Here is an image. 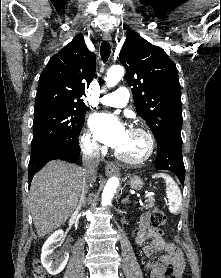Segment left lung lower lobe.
Returning a JSON list of instances; mask_svg holds the SVG:
<instances>
[{"mask_svg":"<svg viewBox=\"0 0 221 278\" xmlns=\"http://www.w3.org/2000/svg\"><path fill=\"white\" fill-rule=\"evenodd\" d=\"M158 142V155L155 167L174 172L184 186L185 167L182 157V138L165 136Z\"/></svg>","mask_w":221,"mask_h":278,"instance_id":"0a47b994","label":"left lung lower lobe"}]
</instances>
